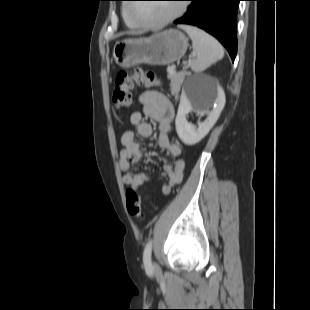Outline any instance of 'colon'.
<instances>
[{
    "label": "colon",
    "mask_w": 310,
    "mask_h": 310,
    "mask_svg": "<svg viewBox=\"0 0 310 310\" xmlns=\"http://www.w3.org/2000/svg\"><path fill=\"white\" fill-rule=\"evenodd\" d=\"M155 74L150 70L135 68L133 71H120L115 78L112 102L118 109H126L131 103V92L134 85H156ZM126 205L131 217L141 220L144 215L140 194L130 188L126 191Z\"/></svg>",
    "instance_id": "5ec220e1"
}]
</instances>
